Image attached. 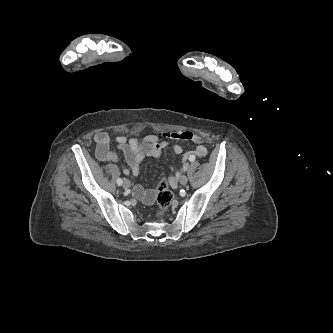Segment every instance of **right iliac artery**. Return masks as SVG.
I'll list each match as a JSON object with an SVG mask.
<instances>
[{
	"label": "right iliac artery",
	"mask_w": 333,
	"mask_h": 333,
	"mask_svg": "<svg viewBox=\"0 0 333 333\" xmlns=\"http://www.w3.org/2000/svg\"><path fill=\"white\" fill-rule=\"evenodd\" d=\"M117 184H118L119 186L123 184V181H122L121 178H118V179H117Z\"/></svg>",
	"instance_id": "obj_1"
}]
</instances>
